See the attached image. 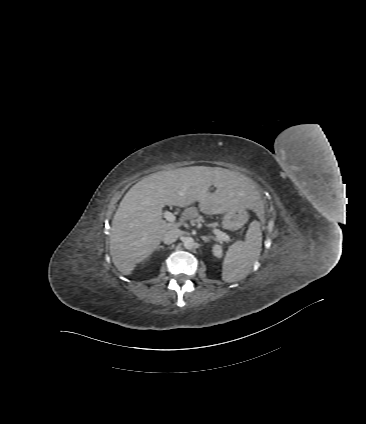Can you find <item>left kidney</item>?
<instances>
[{
	"mask_svg": "<svg viewBox=\"0 0 366 424\" xmlns=\"http://www.w3.org/2000/svg\"><path fill=\"white\" fill-rule=\"evenodd\" d=\"M213 253L216 257L221 258L222 254H223L221 246L217 245V244L214 245L213 246Z\"/></svg>",
	"mask_w": 366,
	"mask_h": 424,
	"instance_id": "5707ae66",
	"label": "left kidney"
}]
</instances>
